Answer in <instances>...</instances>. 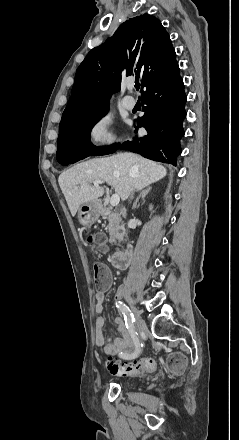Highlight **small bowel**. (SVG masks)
<instances>
[{
  "label": "small bowel",
  "instance_id": "c3829d8e",
  "mask_svg": "<svg viewBox=\"0 0 239 440\" xmlns=\"http://www.w3.org/2000/svg\"><path fill=\"white\" fill-rule=\"evenodd\" d=\"M106 267V266H105ZM108 278L110 279V271L106 267ZM106 284L104 289L108 286L109 283ZM121 290L119 291V294H121ZM105 301V295L103 291H99L95 295V310L98 313V317L95 321V328H96V344L101 347L103 352L108 355H122L126 354L129 350L133 347V342L131 340V335L129 333L128 328L126 327V324L124 323L123 319L121 317H117L115 319L116 323V329L119 334V337L115 340L107 339L104 334V317L102 316L103 312V305Z\"/></svg>",
  "mask_w": 239,
  "mask_h": 440
}]
</instances>
